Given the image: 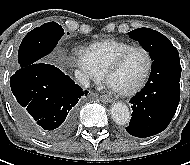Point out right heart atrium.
Returning <instances> with one entry per match:
<instances>
[{"instance_id": "1", "label": "right heart atrium", "mask_w": 190, "mask_h": 165, "mask_svg": "<svg viewBox=\"0 0 190 165\" xmlns=\"http://www.w3.org/2000/svg\"><path fill=\"white\" fill-rule=\"evenodd\" d=\"M70 62L79 80L85 84L91 81L98 82L103 77V73L94 64L88 50L83 47L73 50Z\"/></svg>"}]
</instances>
